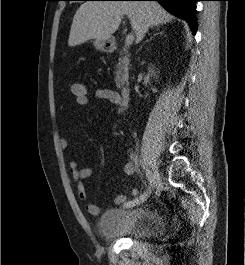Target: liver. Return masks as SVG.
I'll use <instances>...</instances> for the list:
<instances>
[{
  "label": "liver",
  "mask_w": 245,
  "mask_h": 265,
  "mask_svg": "<svg viewBox=\"0 0 245 265\" xmlns=\"http://www.w3.org/2000/svg\"><path fill=\"white\" fill-rule=\"evenodd\" d=\"M127 15L136 43L145 36L149 27L171 22L174 16L156 2L86 1L76 11L68 39L70 47L88 40H108Z\"/></svg>",
  "instance_id": "obj_1"
}]
</instances>
